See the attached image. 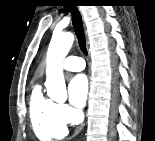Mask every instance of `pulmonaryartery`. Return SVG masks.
<instances>
[{
    "mask_svg": "<svg viewBox=\"0 0 155 141\" xmlns=\"http://www.w3.org/2000/svg\"><path fill=\"white\" fill-rule=\"evenodd\" d=\"M63 67L69 71H81L85 68V62L81 57L68 56L63 62Z\"/></svg>",
    "mask_w": 155,
    "mask_h": 141,
    "instance_id": "e3ab8cb5",
    "label": "pulmonary artery"
}]
</instances>
